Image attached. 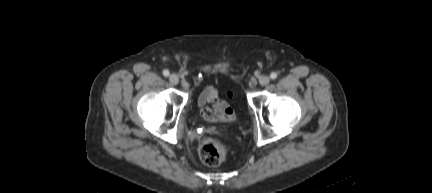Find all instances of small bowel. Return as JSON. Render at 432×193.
Here are the masks:
<instances>
[{"label":"small bowel","instance_id":"small-bowel-1","mask_svg":"<svg viewBox=\"0 0 432 193\" xmlns=\"http://www.w3.org/2000/svg\"><path fill=\"white\" fill-rule=\"evenodd\" d=\"M197 103L203 118L209 123H227L234 119L233 110L218 97L217 90L212 86L201 92Z\"/></svg>","mask_w":432,"mask_h":193}]
</instances>
